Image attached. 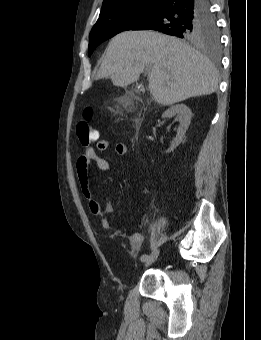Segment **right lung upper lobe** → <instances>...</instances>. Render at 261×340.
<instances>
[{"instance_id":"obj_1","label":"right lung upper lobe","mask_w":261,"mask_h":340,"mask_svg":"<svg viewBox=\"0 0 261 340\" xmlns=\"http://www.w3.org/2000/svg\"><path fill=\"white\" fill-rule=\"evenodd\" d=\"M135 1H144V0H104L103 5H102V9H101V13L105 10L110 9V8L125 5V4L131 3V2H135Z\"/></svg>"}]
</instances>
